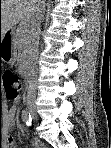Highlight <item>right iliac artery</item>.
I'll return each mask as SVG.
<instances>
[{
  "mask_svg": "<svg viewBox=\"0 0 111 148\" xmlns=\"http://www.w3.org/2000/svg\"><path fill=\"white\" fill-rule=\"evenodd\" d=\"M22 120L27 124L31 125L32 117L28 111H23L22 112Z\"/></svg>",
  "mask_w": 111,
  "mask_h": 148,
  "instance_id": "82829eb1",
  "label": "right iliac artery"
}]
</instances>
